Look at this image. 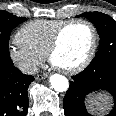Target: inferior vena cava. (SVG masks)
<instances>
[{"label":"inferior vena cava","mask_w":116,"mask_h":116,"mask_svg":"<svg viewBox=\"0 0 116 116\" xmlns=\"http://www.w3.org/2000/svg\"><path fill=\"white\" fill-rule=\"evenodd\" d=\"M20 69L26 74H36L38 72V66L33 63L22 65Z\"/></svg>","instance_id":"inferior-vena-cava-1"}]
</instances>
